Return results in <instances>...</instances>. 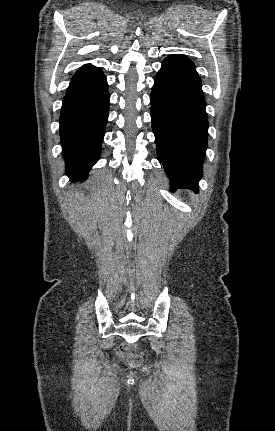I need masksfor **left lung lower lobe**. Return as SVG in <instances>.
I'll return each mask as SVG.
<instances>
[{"label":"left lung lower lobe","mask_w":275,"mask_h":431,"mask_svg":"<svg viewBox=\"0 0 275 431\" xmlns=\"http://www.w3.org/2000/svg\"><path fill=\"white\" fill-rule=\"evenodd\" d=\"M150 104L157 158L170 179L171 189L197 191L209 123L202 82L188 57L175 54L163 60Z\"/></svg>","instance_id":"left-lung-lower-lobe-1"}]
</instances>
